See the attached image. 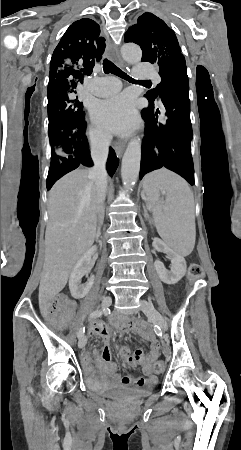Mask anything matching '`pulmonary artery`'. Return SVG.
Listing matches in <instances>:
<instances>
[{
  "label": "pulmonary artery",
  "mask_w": 241,
  "mask_h": 450,
  "mask_svg": "<svg viewBox=\"0 0 241 450\" xmlns=\"http://www.w3.org/2000/svg\"><path fill=\"white\" fill-rule=\"evenodd\" d=\"M134 75L140 80H145L146 84H157L158 76L155 71H149V66L147 64H138L135 67ZM90 92H100L96 96L106 97L112 92H117L119 90L120 80L118 78H107L103 76L102 78H90L88 80Z\"/></svg>",
  "instance_id": "1"
}]
</instances>
